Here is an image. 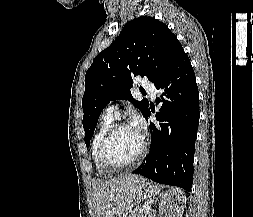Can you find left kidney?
Masks as SVG:
<instances>
[{
    "label": "left kidney",
    "instance_id": "1",
    "mask_svg": "<svg viewBox=\"0 0 253 217\" xmlns=\"http://www.w3.org/2000/svg\"><path fill=\"white\" fill-rule=\"evenodd\" d=\"M185 201L186 197L183 195L181 190H169L162 197L159 206L160 217H181V213L183 211V203Z\"/></svg>",
    "mask_w": 253,
    "mask_h": 217
}]
</instances>
